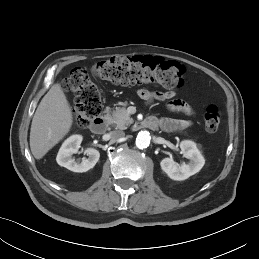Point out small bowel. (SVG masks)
I'll use <instances>...</instances> for the list:
<instances>
[{"instance_id":"c3829d8e","label":"small bowel","mask_w":259,"mask_h":259,"mask_svg":"<svg viewBox=\"0 0 259 259\" xmlns=\"http://www.w3.org/2000/svg\"><path fill=\"white\" fill-rule=\"evenodd\" d=\"M137 93L138 96L148 104H151L154 100H168L167 107L170 111L183 113L188 116L193 115V110L187 103L180 99H176L175 91L154 92L148 89H139ZM159 124L165 130L174 131L189 127L191 125V121L165 118L160 119Z\"/></svg>"}]
</instances>
